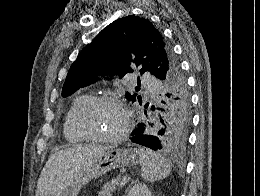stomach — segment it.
Here are the masks:
<instances>
[{
	"instance_id": "1",
	"label": "stomach",
	"mask_w": 260,
	"mask_h": 196,
	"mask_svg": "<svg viewBox=\"0 0 260 196\" xmlns=\"http://www.w3.org/2000/svg\"><path fill=\"white\" fill-rule=\"evenodd\" d=\"M139 152L136 148H117V146H108L105 154L95 158L90 168H86L83 174L76 178L74 184L69 186L70 190L62 193H44V196H78L81 188L86 186L88 182L103 176L110 170L115 168H123V166H133L136 164Z\"/></svg>"
}]
</instances>
